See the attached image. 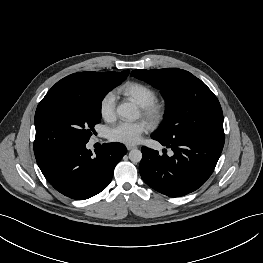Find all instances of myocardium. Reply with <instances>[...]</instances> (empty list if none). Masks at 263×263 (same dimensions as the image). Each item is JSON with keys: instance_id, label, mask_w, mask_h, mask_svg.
<instances>
[{"instance_id": "1", "label": "myocardium", "mask_w": 263, "mask_h": 263, "mask_svg": "<svg viewBox=\"0 0 263 263\" xmlns=\"http://www.w3.org/2000/svg\"><path fill=\"white\" fill-rule=\"evenodd\" d=\"M141 115L153 124L158 123L166 112L164 100L155 99L149 104L140 107Z\"/></svg>"}]
</instances>
